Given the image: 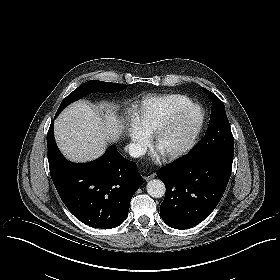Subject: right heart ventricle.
I'll list each match as a JSON object with an SVG mask.
<instances>
[{
    "instance_id": "1",
    "label": "right heart ventricle",
    "mask_w": 280,
    "mask_h": 280,
    "mask_svg": "<svg viewBox=\"0 0 280 280\" xmlns=\"http://www.w3.org/2000/svg\"><path fill=\"white\" fill-rule=\"evenodd\" d=\"M188 103H189V98L187 96L176 94V95H170L166 97L163 101V107L165 112L170 114L177 110L182 109ZM161 125L162 123H160V125L159 124L157 125L156 123V126H161Z\"/></svg>"
}]
</instances>
